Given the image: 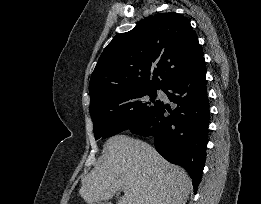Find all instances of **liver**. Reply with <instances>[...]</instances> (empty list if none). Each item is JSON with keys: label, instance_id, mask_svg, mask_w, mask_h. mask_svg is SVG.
Returning <instances> with one entry per match:
<instances>
[{"label": "liver", "instance_id": "1", "mask_svg": "<svg viewBox=\"0 0 261 204\" xmlns=\"http://www.w3.org/2000/svg\"><path fill=\"white\" fill-rule=\"evenodd\" d=\"M102 162L81 180L80 196L89 204L111 199L117 204H185L192 182L180 167L166 161L151 145L126 135L108 139Z\"/></svg>", "mask_w": 261, "mask_h": 204}]
</instances>
